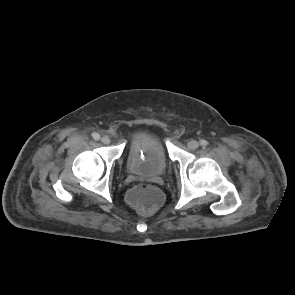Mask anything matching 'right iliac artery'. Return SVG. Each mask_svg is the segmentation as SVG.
Returning <instances> with one entry per match:
<instances>
[{
  "instance_id": "1",
  "label": "right iliac artery",
  "mask_w": 295,
  "mask_h": 295,
  "mask_svg": "<svg viewBox=\"0 0 295 295\" xmlns=\"http://www.w3.org/2000/svg\"><path fill=\"white\" fill-rule=\"evenodd\" d=\"M92 137L95 139V140H99L100 139V135L98 133H93L92 134Z\"/></svg>"
}]
</instances>
